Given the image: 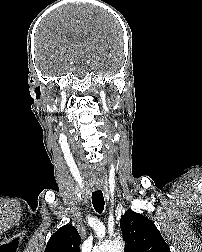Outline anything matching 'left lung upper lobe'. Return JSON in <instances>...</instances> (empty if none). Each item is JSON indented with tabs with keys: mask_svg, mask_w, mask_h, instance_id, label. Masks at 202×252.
<instances>
[{
	"mask_svg": "<svg viewBox=\"0 0 202 252\" xmlns=\"http://www.w3.org/2000/svg\"><path fill=\"white\" fill-rule=\"evenodd\" d=\"M125 252H170L154 223L145 216L128 210L120 220Z\"/></svg>",
	"mask_w": 202,
	"mask_h": 252,
	"instance_id": "1",
	"label": "left lung upper lobe"
}]
</instances>
